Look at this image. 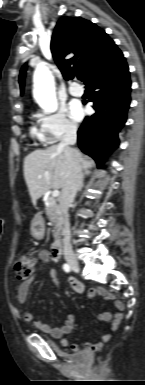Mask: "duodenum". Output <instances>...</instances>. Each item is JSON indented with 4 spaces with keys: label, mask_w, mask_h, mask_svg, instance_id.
Instances as JSON below:
<instances>
[{
    "label": "duodenum",
    "mask_w": 145,
    "mask_h": 385,
    "mask_svg": "<svg viewBox=\"0 0 145 385\" xmlns=\"http://www.w3.org/2000/svg\"><path fill=\"white\" fill-rule=\"evenodd\" d=\"M51 253L53 257L58 258L62 254V243L61 241L57 240L53 243Z\"/></svg>",
    "instance_id": "duodenum-1"
}]
</instances>
